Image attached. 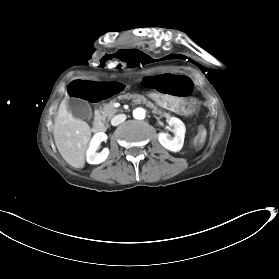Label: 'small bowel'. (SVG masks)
I'll return each mask as SVG.
<instances>
[{
    "label": "small bowel",
    "instance_id": "obj_1",
    "mask_svg": "<svg viewBox=\"0 0 279 279\" xmlns=\"http://www.w3.org/2000/svg\"><path fill=\"white\" fill-rule=\"evenodd\" d=\"M142 82L150 92L172 96L188 95L192 89L189 77L177 73L147 75Z\"/></svg>",
    "mask_w": 279,
    "mask_h": 279
}]
</instances>
